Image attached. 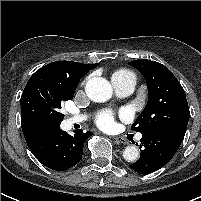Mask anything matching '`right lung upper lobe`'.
<instances>
[{"mask_svg":"<svg viewBox=\"0 0 201 201\" xmlns=\"http://www.w3.org/2000/svg\"><path fill=\"white\" fill-rule=\"evenodd\" d=\"M97 64H82L73 61H55L49 63L48 65L44 66L43 68L52 71L53 73L65 77L73 82H80V79L90 70L95 68ZM23 134L25 138L37 133L39 130L38 128L32 127H24L22 128Z\"/></svg>","mask_w":201,"mask_h":201,"instance_id":"obj_1","label":"right lung upper lobe"}]
</instances>
